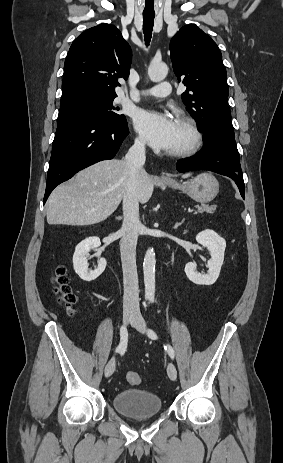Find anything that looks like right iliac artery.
<instances>
[{
	"mask_svg": "<svg viewBox=\"0 0 283 463\" xmlns=\"http://www.w3.org/2000/svg\"><path fill=\"white\" fill-rule=\"evenodd\" d=\"M120 344L116 348V352H122L125 351L127 347V342H128V332L125 326H122L120 329Z\"/></svg>",
	"mask_w": 283,
	"mask_h": 463,
	"instance_id": "1",
	"label": "right iliac artery"
}]
</instances>
